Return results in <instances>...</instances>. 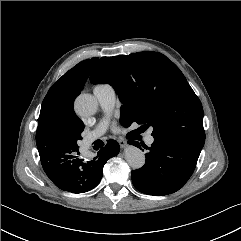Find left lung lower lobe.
Wrapping results in <instances>:
<instances>
[{
	"label": "left lung lower lobe",
	"instance_id": "left-lung-lower-lobe-1",
	"mask_svg": "<svg viewBox=\"0 0 241 241\" xmlns=\"http://www.w3.org/2000/svg\"><path fill=\"white\" fill-rule=\"evenodd\" d=\"M153 137L154 143L146 147L149 152L145 154V165L132 171V182L142 193L168 195L191 177L202 148L166 136ZM128 143L141 149L137 141Z\"/></svg>",
	"mask_w": 241,
	"mask_h": 241
}]
</instances>
